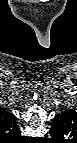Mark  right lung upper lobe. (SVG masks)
<instances>
[{
    "label": "right lung upper lobe",
    "instance_id": "1",
    "mask_svg": "<svg viewBox=\"0 0 77 143\" xmlns=\"http://www.w3.org/2000/svg\"><path fill=\"white\" fill-rule=\"evenodd\" d=\"M0 128L7 135H17L20 132L16 117L4 109L0 110Z\"/></svg>",
    "mask_w": 77,
    "mask_h": 143
}]
</instances>
